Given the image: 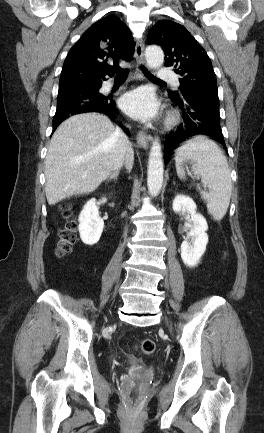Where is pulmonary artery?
<instances>
[{
    "label": "pulmonary artery",
    "instance_id": "e3ab8cb5",
    "mask_svg": "<svg viewBox=\"0 0 264 433\" xmlns=\"http://www.w3.org/2000/svg\"><path fill=\"white\" fill-rule=\"evenodd\" d=\"M158 78L160 80H173L174 85L179 86V82L175 79L174 73L165 67L158 69ZM110 85H107L109 87Z\"/></svg>",
    "mask_w": 264,
    "mask_h": 433
}]
</instances>
